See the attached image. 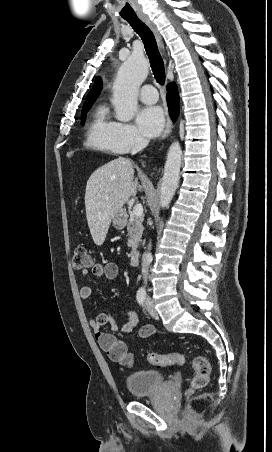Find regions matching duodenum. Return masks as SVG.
<instances>
[{
	"mask_svg": "<svg viewBox=\"0 0 272 452\" xmlns=\"http://www.w3.org/2000/svg\"><path fill=\"white\" fill-rule=\"evenodd\" d=\"M139 255H140V252H139L138 249H133V250L130 252L129 259H130L131 264L137 263L138 258H139Z\"/></svg>",
	"mask_w": 272,
	"mask_h": 452,
	"instance_id": "1",
	"label": "duodenum"
}]
</instances>
